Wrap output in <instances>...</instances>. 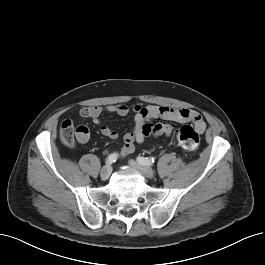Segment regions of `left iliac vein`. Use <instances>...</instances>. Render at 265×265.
<instances>
[{
    "instance_id": "obj_1",
    "label": "left iliac vein",
    "mask_w": 265,
    "mask_h": 265,
    "mask_svg": "<svg viewBox=\"0 0 265 265\" xmlns=\"http://www.w3.org/2000/svg\"><path fill=\"white\" fill-rule=\"evenodd\" d=\"M129 164L132 168L139 171L144 177L150 179L155 177V172L150 167L142 166L134 160H130Z\"/></svg>"
}]
</instances>
